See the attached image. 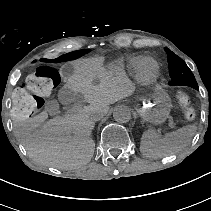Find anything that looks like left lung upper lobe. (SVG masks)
<instances>
[{
    "instance_id": "left-lung-upper-lobe-1",
    "label": "left lung upper lobe",
    "mask_w": 211,
    "mask_h": 211,
    "mask_svg": "<svg viewBox=\"0 0 211 211\" xmlns=\"http://www.w3.org/2000/svg\"><path fill=\"white\" fill-rule=\"evenodd\" d=\"M165 51L168 57L169 74L171 76V81L169 84L187 85L199 90L195 77L186 63L170 49L165 48Z\"/></svg>"
}]
</instances>
